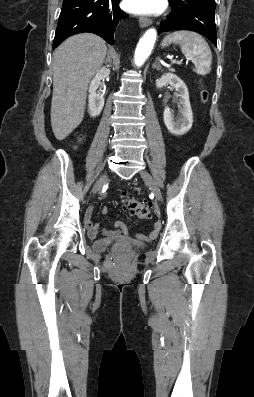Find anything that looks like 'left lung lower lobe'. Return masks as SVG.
<instances>
[{
    "label": "left lung lower lobe",
    "mask_w": 254,
    "mask_h": 397,
    "mask_svg": "<svg viewBox=\"0 0 254 397\" xmlns=\"http://www.w3.org/2000/svg\"><path fill=\"white\" fill-rule=\"evenodd\" d=\"M171 14L160 23L158 34L191 30L206 36L216 47L215 0H169Z\"/></svg>",
    "instance_id": "1"
}]
</instances>
